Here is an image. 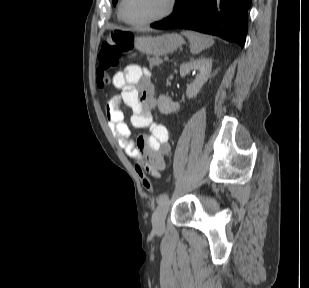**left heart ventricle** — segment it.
<instances>
[{
	"instance_id": "1",
	"label": "left heart ventricle",
	"mask_w": 309,
	"mask_h": 288,
	"mask_svg": "<svg viewBox=\"0 0 309 288\" xmlns=\"http://www.w3.org/2000/svg\"><path fill=\"white\" fill-rule=\"evenodd\" d=\"M167 6L168 0H126L124 14L127 19L139 22L160 15Z\"/></svg>"
}]
</instances>
